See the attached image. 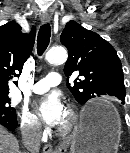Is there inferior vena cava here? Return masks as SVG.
I'll return each mask as SVG.
<instances>
[{"mask_svg": "<svg viewBox=\"0 0 130 153\" xmlns=\"http://www.w3.org/2000/svg\"><path fill=\"white\" fill-rule=\"evenodd\" d=\"M22 139L29 153H39L42 135L40 123H31L21 128Z\"/></svg>", "mask_w": 130, "mask_h": 153, "instance_id": "inferior-vena-cava-1", "label": "inferior vena cava"}]
</instances>
